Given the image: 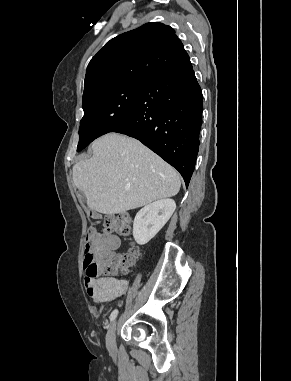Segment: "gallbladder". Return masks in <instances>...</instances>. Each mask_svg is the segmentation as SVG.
Returning <instances> with one entry per match:
<instances>
[{"mask_svg": "<svg viewBox=\"0 0 291 381\" xmlns=\"http://www.w3.org/2000/svg\"><path fill=\"white\" fill-rule=\"evenodd\" d=\"M80 195H81L82 200L85 201V196H84V194H83L82 192H80Z\"/></svg>", "mask_w": 291, "mask_h": 381, "instance_id": "bac80fb5", "label": "gallbladder"}]
</instances>
